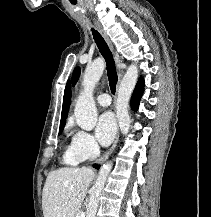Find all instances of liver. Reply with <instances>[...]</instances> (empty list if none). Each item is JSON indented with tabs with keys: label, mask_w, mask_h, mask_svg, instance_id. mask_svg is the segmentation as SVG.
Instances as JSON below:
<instances>
[{
	"label": "liver",
	"mask_w": 211,
	"mask_h": 217,
	"mask_svg": "<svg viewBox=\"0 0 211 217\" xmlns=\"http://www.w3.org/2000/svg\"><path fill=\"white\" fill-rule=\"evenodd\" d=\"M94 176V171L86 167L50 172L42 193L44 217H75Z\"/></svg>",
	"instance_id": "1"
}]
</instances>
